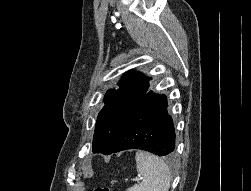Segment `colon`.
I'll use <instances>...</instances> for the list:
<instances>
[{
    "label": "colon",
    "mask_w": 251,
    "mask_h": 191,
    "mask_svg": "<svg viewBox=\"0 0 251 191\" xmlns=\"http://www.w3.org/2000/svg\"><path fill=\"white\" fill-rule=\"evenodd\" d=\"M95 191H111V189L107 187H97Z\"/></svg>",
    "instance_id": "5ec220e1"
}]
</instances>
